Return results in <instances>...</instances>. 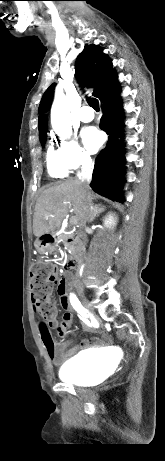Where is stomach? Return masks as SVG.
Instances as JSON below:
<instances>
[{
  "mask_svg": "<svg viewBox=\"0 0 165 461\" xmlns=\"http://www.w3.org/2000/svg\"><path fill=\"white\" fill-rule=\"evenodd\" d=\"M35 247H36V250H37L38 252H40V253L46 252V250H47V248H48L47 245L44 244L42 240H37V241L35 242Z\"/></svg>",
  "mask_w": 165,
  "mask_h": 461,
  "instance_id": "obj_1",
  "label": "stomach"
}]
</instances>
